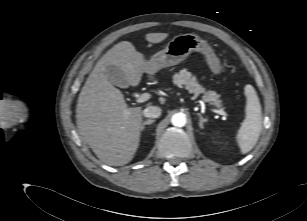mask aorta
I'll return each mask as SVG.
<instances>
[{"label":"aorta","mask_w":307,"mask_h":221,"mask_svg":"<svg viewBox=\"0 0 307 221\" xmlns=\"http://www.w3.org/2000/svg\"><path fill=\"white\" fill-rule=\"evenodd\" d=\"M172 125L183 127L186 124V116L183 113H176L171 117Z\"/></svg>","instance_id":"762f6f07"}]
</instances>
